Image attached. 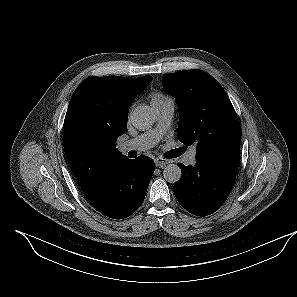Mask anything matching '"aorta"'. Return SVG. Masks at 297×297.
I'll return each mask as SVG.
<instances>
[{
    "instance_id": "aorta-1",
    "label": "aorta",
    "mask_w": 297,
    "mask_h": 297,
    "mask_svg": "<svg viewBox=\"0 0 297 297\" xmlns=\"http://www.w3.org/2000/svg\"><path fill=\"white\" fill-rule=\"evenodd\" d=\"M131 122L139 130L149 129L155 120L154 113L149 106H138L131 113ZM165 180L169 183H176L182 177V171L176 164H168L163 171Z\"/></svg>"
}]
</instances>
